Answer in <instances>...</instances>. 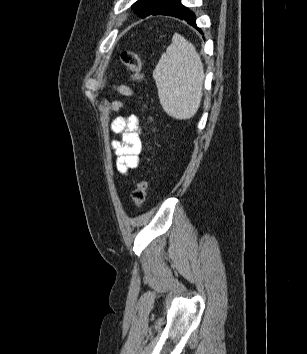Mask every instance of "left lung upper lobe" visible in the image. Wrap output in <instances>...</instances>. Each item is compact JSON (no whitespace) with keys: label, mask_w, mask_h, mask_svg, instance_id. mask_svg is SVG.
I'll return each instance as SVG.
<instances>
[{"label":"left lung upper lobe","mask_w":307,"mask_h":354,"mask_svg":"<svg viewBox=\"0 0 307 354\" xmlns=\"http://www.w3.org/2000/svg\"><path fill=\"white\" fill-rule=\"evenodd\" d=\"M169 0H138L132 5L135 13L145 18L161 10Z\"/></svg>","instance_id":"5c2ea615"}]
</instances>
